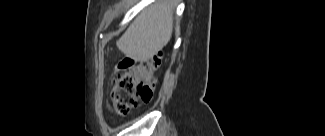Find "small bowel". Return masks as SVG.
<instances>
[{"label":"small bowel","mask_w":325,"mask_h":136,"mask_svg":"<svg viewBox=\"0 0 325 136\" xmlns=\"http://www.w3.org/2000/svg\"><path fill=\"white\" fill-rule=\"evenodd\" d=\"M133 58L126 54L122 58V62H119L115 69H113V74H111V79L107 80V87L110 89L114 85V79L121 80L122 75L125 74V72H130L132 70V67L130 64L133 63ZM108 97L111 95L109 92L106 94Z\"/></svg>","instance_id":"small-bowel-1"}]
</instances>
